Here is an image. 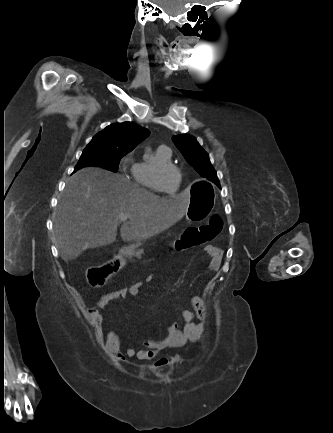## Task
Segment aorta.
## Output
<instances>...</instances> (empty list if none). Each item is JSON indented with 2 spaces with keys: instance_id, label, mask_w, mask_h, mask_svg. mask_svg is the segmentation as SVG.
I'll list each match as a JSON object with an SVG mask.
<instances>
[{
  "instance_id": "1",
  "label": "aorta",
  "mask_w": 333,
  "mask_h": 433,
  "mask_svg": "<svg viewBox=\"0 0 333 433\" xmlns=\"http://www.w3.org/2000/svg\"><path fill=\"white\" fill-rule=\"evenodd\" d=\"M151 151V149L150 148H147V152H150Z\"/></svg>"
}]
</instances>
